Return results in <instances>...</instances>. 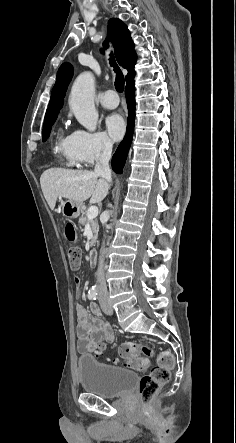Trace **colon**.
<instances>
[{
  "label": "colon",
  "instance_id": "1",
  "mask_svg": "<svg viewBox=\"0 0 236 443\" xmlns=\"http://www.w3.org/2000/svg\"><path fill=\"white\" fill-rule=\"evenodd\" d=\"M65 236L70 242L76 240V228L74 224L67 223L65 225ZM68 263L72 270H77L81 263V250L78 247H71L67 253ZM92 354L98 360L115 364V358L108 357L105 354V345L103 343L96 344L92 350ZM119 355L125 360V365L129 368L144 371L149 367L151 349L136 341H124L118 347ZM174 365L173 356L168 352H163L158 356L157 365L151 371L144 375L139 383V397L143 405L150 403L170 378V370Z\"/></svg>",
  "mask_w": 236,
  "mask_h": 443
}]
</instances>
